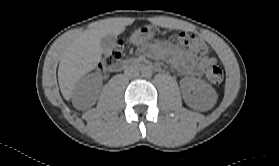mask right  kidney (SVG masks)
I'll return each instance as SVG.
<instances>
[{"instance_id": "1", "label": "right kidney", "mask_w": 279, "mask_h": 166, "mask_svg": "<svg viewBox=\"0 0 279 166\" xmlns=\"http://www.w3.org/2000/svg\"><path fill=\"white\" fill-rule=\"evenodd\" d=\"M102 85L99 76H88L82 78L74 89V98L81 106H85L95 98L96 92Z\"/></svg>"}]
</instances>
